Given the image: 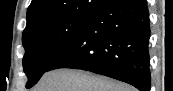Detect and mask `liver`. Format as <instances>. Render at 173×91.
<instances>
[{"mask_svg": "<svg viewBox=\"0 0 173 91\" xmlns=\"http://www.w3.org/2000/svg\"><path fill=\"white\" fill-rule=\"evenodd\" d=\"M32 91H135L111 78L75 69H56L43 74Z\"/></svg>", "mask_w": 173, "mask_h": 91, "instance_id": "liver-1", "label": "liver"}]
</instances>
